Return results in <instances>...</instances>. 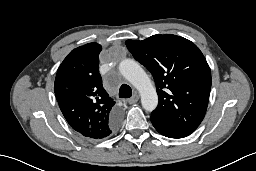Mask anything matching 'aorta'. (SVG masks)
<instances>
[{"label":"aorta","instance_id":"aorta-1","mask_svg":"<svg viewBox=\"0 0 256 171\" xmlns=\"http://www.w3.org/2000/svg\"><path fill=\"white\" fill-rule=\"evenodd\" d=\"M119 71L140 93L142 107L153 111L158 104L156 90L142 67L132 59H125L119 64Z\"/></svg>","mask_w":256,"mask_h":171}]
</instances>
